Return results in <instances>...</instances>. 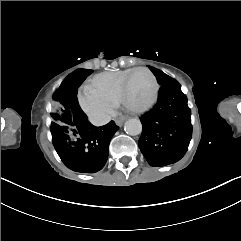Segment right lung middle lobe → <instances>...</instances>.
Returning a JSON list of instances; mask_svg holds the SVG:
<instances>
[{"label": "right lung middle lobe", "mask_w": 241, "mask_h": 241, "mask_svg": "<svg viewBox=\"0 0 241 241\" xmlns=\"http://www.w3.org/2000/svg\"><path fill=\"white\" fill-rule=\"evenodd\" d=\"M79 74L83 75L84 78L90 75L93 71L80 69L77 70ZM67 80L65 79L58 90L54 93L52 97L51 103V131H59V130H71L74 127V123L72 120L71 113L69 112V108L66 105L65 93L67 90Z\"/></svg>", "instance_id": "obj_1"}]
</instances>
